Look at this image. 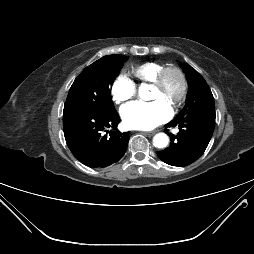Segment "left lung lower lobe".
<instances>
[{
  "instance_id": "0a47b994",
  "label": "left lung lower lobe",
  "mask_w": 254,
  "mask_h": 254,
  "mask_svg": "<svg viewBox=\"0 0 254 254\" xmlns=\"http://www.w3.org/2000/svg\"><path fill=\"white\" fill-rule=\"evenodd\" d=\"M165 127H176L179 131L176 135L169 133L170 146L157 152L159 158L172 166H187L196 161L209 144L215 127V108L191 106L180 111Z\"/></svg>"
}]
</instances>
